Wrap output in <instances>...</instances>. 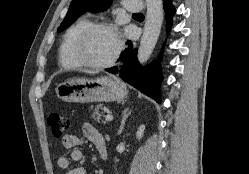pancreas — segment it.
<instances>
[{
	"mask_svg": "<svg viewBox=\"0 0 249 174\" xmlns=\"http://www.w3.org/2000/svg\"><path fill=\"white\" fill-rule=\"evenodd\" d=\"M104 106L102 104H99L95 107V109L93 110V114L92 116L95 118V116H97L95 119L97 121H100L101 117L103 116V112H100L99 110H103Z\"/></svg>",
	"mask_w": 249,
	"mask_h": 174,
	"instance_id": "cf45deb5",
	"label": "pancreas"
}]
</instances>
